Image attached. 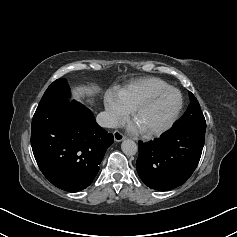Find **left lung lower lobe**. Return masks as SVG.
<instances>
[{"mask_svg": "<svg viewBox=\"0 0 237 237\" xmlns=\"http://www.w3.org/2000/svg\"><path fill=\"white\" fill-rule=\"evenodd\" d=\"M206 128H172L159 139L139 142L136 169L150 188L166 191L186 182L196 169Z\"/></svg>", "mask_w": 237, "mask_h": 237, "instance_id": "1", "label": "left lung lower lobe"}]
</instances>
